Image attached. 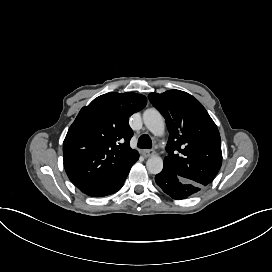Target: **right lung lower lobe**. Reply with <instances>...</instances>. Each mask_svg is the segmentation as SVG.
<instances>
[{
  "label": "right lung lower lobe",
  "instance_id": "1",
  "mask_svg": "<svg viewBox=\"0 0 272 272\" xmlns=\"http://www.w3.org/2000/svg\"><path fill=\"white\" fill-rule=\"evenodd\" d=\"M138 158L139 156L126 167L112 174L108 178L84 185L79 187V189L91 197H103L117 192L123 186L132 165L138 160Z\"/></svg>",
  "mask_w": 272,
  "mask_h": 272
}]
</instances>
